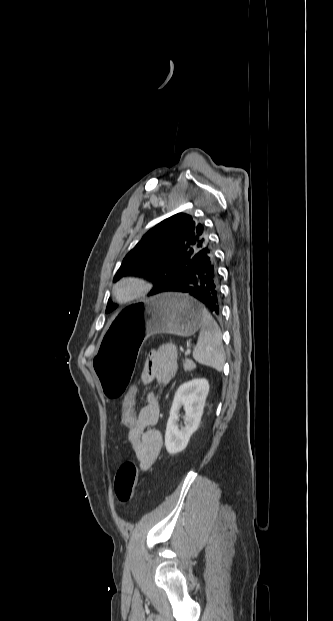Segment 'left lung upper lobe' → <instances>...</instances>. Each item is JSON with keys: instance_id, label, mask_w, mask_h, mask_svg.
<instances>
[{"instance_id": "1", "label": "left lung upper lobe", "mask_w": 333, "mask_h": 621, "mask_svg": "<svg viewBox=\"0 0 333 621\" xmlns=\"http://www.w3.org/2000/svg\"><path fill=\"white\" fill-rule=\"evenodd\" d=\"M211 245L204 225L193 216L178 213L150 229L126 255L114 282L138 274L153 280L150 295L162 289L182 272L190 259L203 247ZM115 309L109 299L106 313Z\"/></svg>"}]
</instances>
